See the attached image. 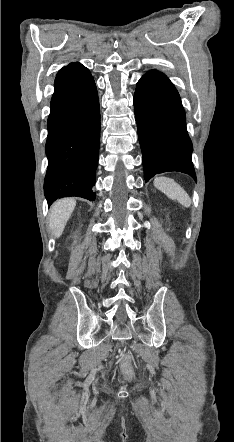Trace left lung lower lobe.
I'll return each mask as SVG.
<instances>
[{
  "label": "left lung lower lobe",
  "mask_w": 234,
  "mask_h": 442,
  "mask_svg": "<svg viewBox=\"0 0 234 442\" xmlns=\"http://www.w3.org/2000/svg\"><path fill=\"white\" fill-rule=\"evenodd\" d=\"M134 108L145 181L167 171L183 172L196 180L185 111L170 80L156 70L144 75L137 83Z\"/></svg>",
  "instance_id": "1"
}]
</instances>
